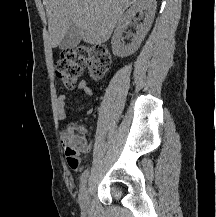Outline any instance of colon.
Returning <instances> with one entry per match:
<instances>
[{
  "label": "colon",
  "mask_w": 216,
  "mask_h": 217,
  "mask_svg": "<svg viewBox=\"0 0 216 217\" xmlns=\"http://www.w3.org/2000/svg\"><path fill=\"white\" fill-rule=\"evenodd\" d=\"M112 63L111 53L104 45H79L75 48L65 49L60 59L55 63L56 76L66 87H73L85 67L89 69L93 79H102L110 70ZM68 133L64 140L65 155L69 166L76 170L79 167L80 155L87 148V140L80 128L71 124L67 126Z\"/></svg>",
  "instance_id": "obj_1"
}]
</instances>
